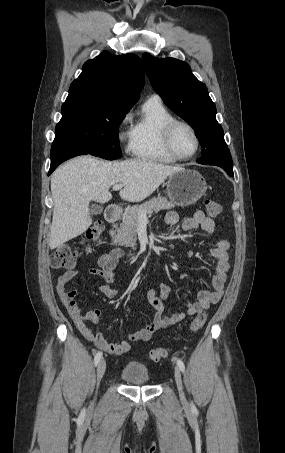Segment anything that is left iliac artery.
<instances>
[{
    "label": "left iliac artery",
    "instance_id": "obj_1",
    "mask_svg": "<svg viewBox=\"0 0 285 453\" xmlns=\"http://www.w3.org/2000/svg\"><path fill=\"white\" fill-rule=\"evenodd\" d=\"M177 365L180 368L182 372L185 371V365L184 362L181 359H177ZM192 408H195V406L191 403Z\"/></svg>",
    "mask_w": 285,
    "mask_h": 453
}]
</instances>
